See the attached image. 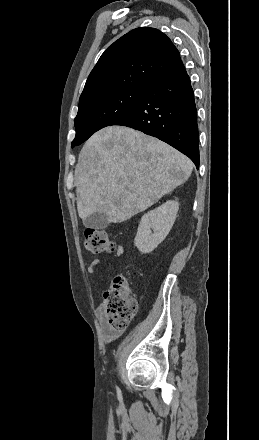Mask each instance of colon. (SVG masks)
I'll return each instance as SVG.
<instances>
[{"mask_svg":"<svg viewBox=\"0 0 259 440\" xmlns=\"http://www.w3.org/2000/svg\"><path fill=\"white\" fill-rule=\"evenodd\" d=\"M85 247L94 254L109 253L114 243L102 230L85 231ZM130 286L123 276H116L111 287L104 293L103 307L108 324L118 330L125 329L137 312V303L130 295Z\"/></svg>","mask_w":259,"mask_h":440,"instance_id":"5ec220e1","label":"colon"}]
</instances>
